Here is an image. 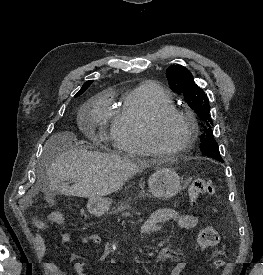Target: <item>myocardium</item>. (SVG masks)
<instances>
[{
  "mask_svg": "<svg viewBox=\"0 0 263 275\" xmlns=\"http://www.w3.org/2000/svg\"><path fill=\"white\" fill-rule=\"evenodd\" d=\"M176 116L186 121L189 127V133L186 141L178 148L165 149L161 147L155 138L156 128L165 118ZM143 133L147 145L153 154L159 156H176L188 151L197 138L198 123L195 117L188 111L179 109L175 106L161 107L152 112L146 119L143 127Z\"/></svg>",
  "mask_w": 263,
  "mask_h": 275,
  "instance_id": "myocardium-1",
  "label": "myocardium"
}]
</instances>
